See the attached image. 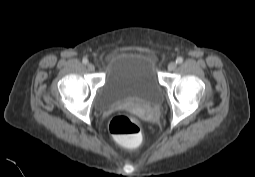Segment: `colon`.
<instances>
[{"mask_svg":"<svg viewBox=\"0 0 255 177\" xmlns=\"http://www.w3.org/2000/svg\"><path fill=\"white\" fill-rule=\"evenodd\" d=\"M109 131L127 147H136L141 141V130L138 122L125 114H118L111 119Z\"/></svg>","mask_w":255,"mask_h":177,"instance_id":"colon-1","label":"colon"}]
</instances>
